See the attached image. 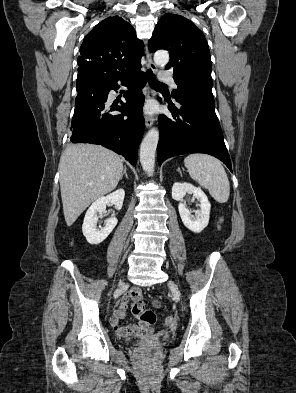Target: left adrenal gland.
<instances>
[{"label":"left adrenal gland","mask_w":296,"mask_h":393,"mask_svg":"<svg viewBox=\"0 0 296 393\" xmlns=\"http://www.w3.org/2000/svg\"><path fill=\"white\" fill-rule=\"evenodd\" d=\"M177 171H178L179 173H181L180 168H178Z\"/></svg>","instance_id":"left-adrenal-gland-1"}]
</instances>
